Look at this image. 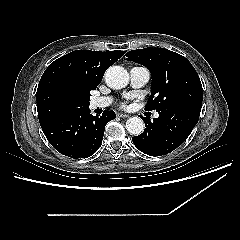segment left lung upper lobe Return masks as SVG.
<instances>
[{"instance_id":"left-lung-upper-lobe-1","label":"left lung upper lobe","mask_w":240,"mask_h":240,"mask_svg":"<svg viewBox=\"0 0 240 240\" xmlns=\"http://www.w3.org/2000/svg\"><path fill=\"white\" fill-rule=\"evenodd\" d=\"M127 60L147 67L152 75L147 110L157 112L189 102H202V85L192 64L182 55L165 48L129 51Z\"/></svg>"}]
</instances>
